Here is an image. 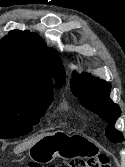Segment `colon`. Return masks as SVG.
I'll return each instance as SVG.
<instances>
[{"instance_id":"obj_1","label":"colon","mask_w":125,"mask_h":167,"mask_svg":"<svg viewBox=\"0 0 125 167\" xmlns=\"http://www.w3.org/2000/svg\"><path fill=\"white\" fill-rule=\"evenodd\" d=\"M111 159L106 154H99L87 159H73L61 162L57 165H49L46 167H111ZM27 167H32L28 165ZM42 167V166H40Z\"/></svg>"}]
</instances>
